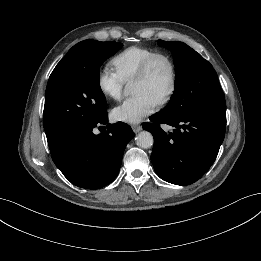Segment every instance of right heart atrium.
<instances>
[{
    "mask_svg": "<svg viewBox=\"0 0 261 261\" xmlns=\"http://www.w3.org/2000/svg\"><path fill=\"white\" fill-rule=\"evenodd\" d=\"M97 86L105 97L118 100L122 95L124 81L115 71L104 67L97 74Z\"/></svg>",
    "mask_w": 261,
    "mask_h": 261,
    "instance_id": "right-heart-atrium-1",
    "label": "right heart atrium"
}]
</instances>
